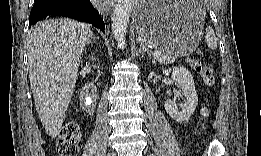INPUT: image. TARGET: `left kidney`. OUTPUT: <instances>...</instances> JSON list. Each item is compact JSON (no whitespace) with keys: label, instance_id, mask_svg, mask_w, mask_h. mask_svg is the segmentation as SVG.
I'll return each instance as SVG.
<instances>
[{"label":"left kidney","instance_id":"left-kidney-1","mask_svg":"<svg viewBox=\"0 0 261 156\" xmlns=\"http://www.w3.org/2000/svg\"><path fill=\"white\" fill-rule=\"evenodd\" d=\"M172 78L174 82L181 87L182 94L184 95L185 102L179 107V110L172 99L165 101L164 107L167 114L176 122L182 123L188 121L193 115L197 102L198 96L195 89V84L191 73L184 67H174L172 71Z\"/></svg>","mask_w":261,"mask_h":156}]
</instances>
